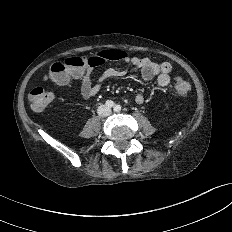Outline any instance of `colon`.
<instances>
[{"label": "colon", "mask_w": 232, "mask_h": 232, "mask_svg": "<svg viewBox=\"0 0 232 232\" xmlns=\"http://www.w3.org/2000/svg\"><path fill=\"white\" fill-rule=\"evenodd\" d=\"M106 55L103 52L93 56H77L56 61L51 64L48 73V79L53 82L69 78L74 74L86 70L88 67L100 63ZM190 86L187 81L177 78L174 91L178 97H185L189 93ZM54 93L44 85L34 87L29 94L31 109L35 112H41L53 103Z\"/></svg>", "instance_id": "1"}]
</instances>
